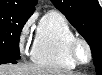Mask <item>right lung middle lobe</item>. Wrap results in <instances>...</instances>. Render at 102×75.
<instances>
[{
  "instance_id": "right-lung-middle-lobe-1",
  "label": "right lung middle lobe",
  "mask_w": 102,
  "mask_h": 75,
  "mask_svg": "<svg viewBox=\"0 0 102 75\" xmlns=\"http://www.w3.org/2000/svg\"><path fill=\"white\" fill-rule=\"evenodd\" d=\"M31 14L0 10V59H20L19 37Z\"/></svg>"
}]
</instances>
